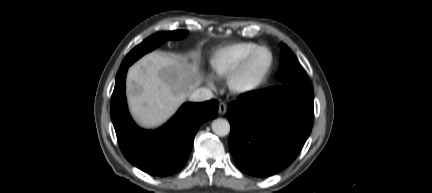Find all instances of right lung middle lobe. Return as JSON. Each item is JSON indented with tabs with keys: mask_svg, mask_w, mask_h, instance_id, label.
I'll list each match as a JSON object with an SVG mask.
<instances>
[{
	"mask_svg": "<svg viewBox=\"0 0 432 193\" xmlns=\"http://www.w3.org/2000/svg\"><path fill=\"white\" fill-rule=\"evenodd\" d=\"M187 33L188 32L185 30H178L170 32H158L155 35L150 36L129 52V54L125 57L121 67L130 66L142 55L154 50L165 41L183 38L187 35Z\"/></svg>",
	"mask_w": 432,
	"mask_h": 193,
	"instance_id": "1",
	"label": "right lung middle lobe"
}]
</instances>
